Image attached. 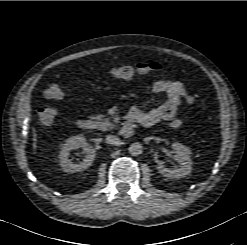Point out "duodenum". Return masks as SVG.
Segmentation results:
<instances>
[{
    "label": "duodenum",
    "mask_w": 247,
    "mask_h": 245,
    "mask_svg": "<svg viewBox=\"0 0 247 245\" xmlns=\"http://www.w3.org/2000/svg\"><path fill=\"white\" fill-rule=\"evenodd\" d=\"M135 123L134 116L130 114L121 127L120 134L123 137H130L133 133ZM78 127L82 130H88L91 128V121L88 118H80L78 120Z\"/></svg>",
    "instance_id": "duodenum-1"
}]
</instances>
